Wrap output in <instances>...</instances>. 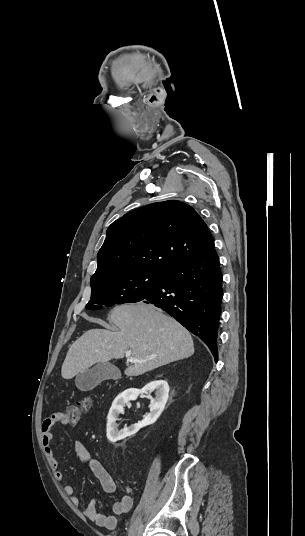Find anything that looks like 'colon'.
Masks as SVG:
<instances>
[{"label": "colon", "mask_w": 305, "mask_h": 536, "mask_svg": "<svg viewBox=\"0 0 305 536\" xmlns=\"http://www.w3.org/2000/svg\"><path fill=\"white\" fill-rule=\"evenodd\" d=\"M92 406V398L85 397L76 404H70L65 408V416L69 424H76L82 413L88 411Z\"/></svg>", "instance_id": "1"}]
</instances>
